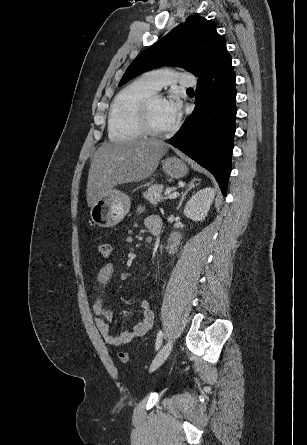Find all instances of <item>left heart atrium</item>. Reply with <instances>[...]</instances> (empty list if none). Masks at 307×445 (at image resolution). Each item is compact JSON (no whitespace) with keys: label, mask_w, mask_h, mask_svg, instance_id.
<instances>
[{"label":"left heart atrium","mask_w":307,"mask_h":445,"mask_svg":"<svg viewBox=\"0 0 307 445\" xmlns=\"http://www.w3.org/2000/svg\"><path fill=\"white\" fill-rule=\"evenodd\" d=\"M165 111L168 118L176 121L181 115V101L178 96L172 93L168 98L163 100Z\"/></svg>","instance_id":"39dd6f15"}]
</instances>
